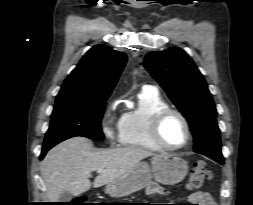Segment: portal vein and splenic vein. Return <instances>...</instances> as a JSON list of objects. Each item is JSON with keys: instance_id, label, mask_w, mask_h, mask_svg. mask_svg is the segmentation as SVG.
Wrapping results in <instances>:
<instances>
[{"instance_id": "1", "label": "portal vein and splenic vein", "mask_w": 253, "mask_h": 205, "mask_svg": "<svg viewBox=\"0 0 253 205\" xmlns=\"http://www.w3.org/2000/svg\"><path fill=\"white\" fill-rule=\"evenodd\" d=\"M97 172L101 173V172H102V170L100 169V170H98Z\"/></svg>"}]
</instances>
